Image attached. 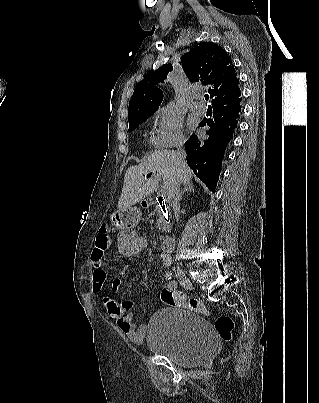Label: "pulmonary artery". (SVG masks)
I'll use <instances>...</instances> for the list:
<instances>
[{"mask_svg": "<svg viewBox=\"0 0 319 403\" xmlns=\"http://www.w3.org/2000/svg\"><path fill=\"white\" fill-rule=\"evenodd\" d=\"M191 109L198 113H205L207 110L205 101L201 96H198L191 104Z\"/></svg>", "mask_w": 319, "mask_h": 403, "instance_id": "e3ab8cb5", "label": "pulmonary artery"}]
</instances>
